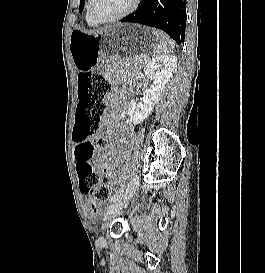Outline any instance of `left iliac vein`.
Returning a JSON list of instances; mask_svg holds the SVG:
<instances>
[{
    "instance_id": "obj_1",
    "label": "left iliac vein",
    "mask_w": 265,
    "mask_h": 273,
    "mask_svg": "<svg viewBox=\"0 0 265 273\" xmlns=\"http://www.w3.org/2000/svg\"><path fill=\"white\" fill-rule=\"evenodd\" d=\"M138 182L139 176L135 175L129 183L125 192L109 206L105 215V220H109L112 216L116 215L122 208H124L129 203L136 191ZM105 244V240L102 237L98 239V246H104Z\"/></svg>"
}]
</instances>
